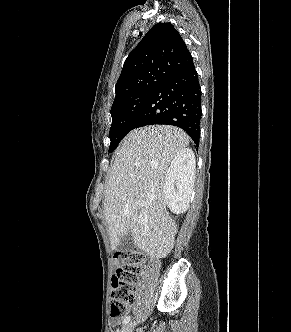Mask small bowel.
<instances>
[{"label":"small bowel","mask_w":291,"mask_h":332,"mask_svg":"<svg viewBox=\"0 0 291 332\" xmlns=\"http://www.w3.org/2000/svg\"><path fill=\"white\" fill-rule=\"evenodd\" d=\"M115 263H118V260H115Z\"/></svg>","instance_id":"obj_1"}]
</instances>
